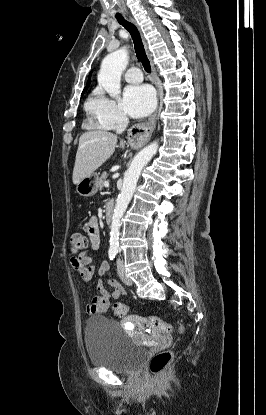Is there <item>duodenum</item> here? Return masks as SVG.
<instances>
[{
  "label": "duodenum",
  "mask_w": 266,
  "mask_h": 415,
  "mask_svg": "<svg viewBox=\"0 0 266 415\" xmlns=\"http://www.w3.org/2000/svg\"><path fill=\"white\" fill-rule=\"evenodd\" d=\"M113 214H114V203L112 201H109L106 204V208H105V219L108 224L112 222Z\"/></svg>",
  "instance_id": "1"
}]
</instances>
